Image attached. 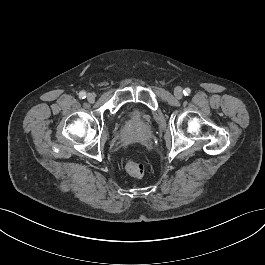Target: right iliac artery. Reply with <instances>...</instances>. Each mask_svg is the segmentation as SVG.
<instances>
[{
  "instance_id": "1",
  "label": "right iliac artery",
  "mask_w": 265,
  "mask_h": 265,
  "mask_svg": "<svg viewBox=\"0 0 265 265\" xmlns=\"http://www.w3.org/2000/svg\"><path fill=\"white\" fill-rule=\"evenodd\" d=\"M79 97H80L81 99L86 98V92L81 91V92L79 93Z\"/></svg>"
}]
</instances>
